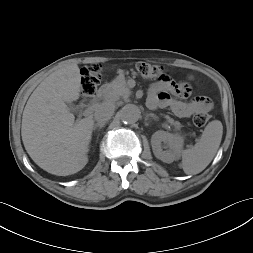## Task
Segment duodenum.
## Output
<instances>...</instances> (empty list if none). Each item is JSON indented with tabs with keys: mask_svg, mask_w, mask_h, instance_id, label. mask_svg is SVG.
Returning a JSON list of instances; mask_svg holds the SVG:
<instances>
[{
	"mask_svg": "<svg viewBox=\"0 0 253 253\" xmlns=\"http://www.w3.org/2000/svg\"><path fill=\"white\" fill-rule=\"evenodd\" d=\"M103 93H104L103 90H100V91H99V95H100V96L103 95Z\"/></svg>",
	"mask_w": 253,
	"mask_h": 253,
	"instance_id": "410a0bca",
	"label": "duodenum"
}]
</instances>
